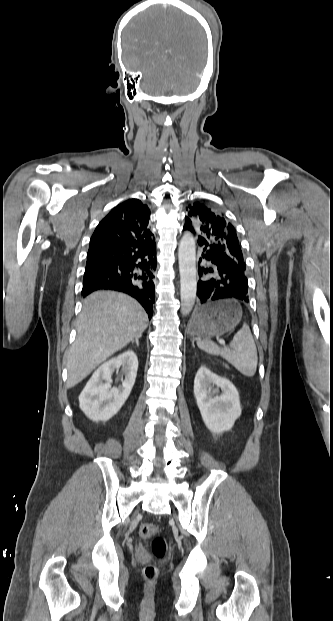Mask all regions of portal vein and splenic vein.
Wrapping results in <instances>:
<instances>
[{
    "instance_id": "18ae733b",
    "label": "portal vein and splenic vein",
    "mask_w": 333,
    "mask_h": 621,
    "mask_svg": "<svg viewBox=\"0 0 333 621\" xmlns=\"http://www.w3.org/2000/svg\"><path fill=\"white\" fill-rule=\"evenodd\" d=\"M219 343H220L221 345H225V341H224V340H219Z\"/></svg>"
}]
</instances>
